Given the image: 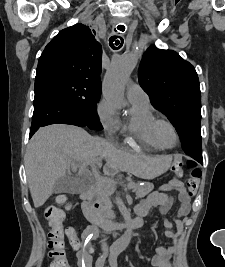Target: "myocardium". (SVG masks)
I'll return each mask as SVG.
<instances>
[{
	"instance_id": "1",
	"label": "myocardium",
	"mask_w": 225,
	"mask_h": 267,
	"mask_svg": "<svg viewBox=\"0 0 225 267\" xmlns=\"http://www.w3.org/2000/svg\"><path fill=\"white\" fill-rule=\"evenodd\" d=\"M164 125L170 126L172 128L174 134H175L176 141H175V143L173 145H166V144L163 143V141L161 139L160 129ZM153 132H154V135H155V138H156L157 142L164 149L174 148L179 143L180 137H179L178 129H177L176 125L169 119L156 118L154 120V122H153Z\"/></svg>"
}]
</instances>
